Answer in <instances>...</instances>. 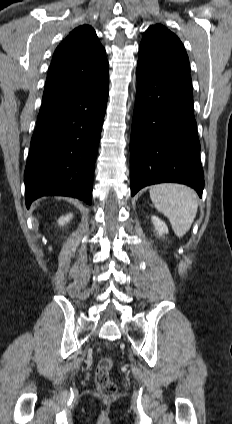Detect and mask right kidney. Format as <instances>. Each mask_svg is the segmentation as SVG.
Returning a JSON list of instances; mask_svg holds the SVG:
<instances>
[{
	"instance_id": "obj_1",
	"label": "right kidney",
	"mask_w": 232,
	"mask_h": 424,
	"mask_svg": "<svg viewBox=\"0 0 232 424\" xmlns=\"http://www.w3.org/2000/svg\"><path fill=\"white\" fill-rule=\"evenodd\" d=\"M73 215L72 214H68L66 216H62L59 218L58 220V225L59 226H64L65 224L69 223L70 220L72 219Z\"/></svg>"
}]
</instances>
